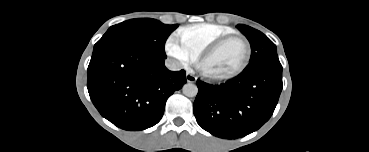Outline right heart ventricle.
<instances>
[{
    "label": "right heart ventricle",
    "mask_w": 369,
    "mask_h": 152,
    "mask_svg": "<svg viewBox=\"0 0 369 152\" xmlns=\"http://www.w3.org/2000/svg\"><path fill=\"white\" fill-rule=\"evenodd\" d=\"M235 33L229 26L214 23H198L183 27L178 36L181 42L197 57L217 39Z\"/></svg>",
    "instance_id": "right-heart-ventricle-1"
}]
</instances>
